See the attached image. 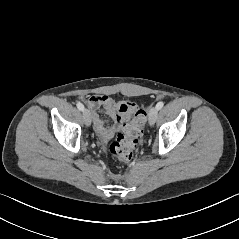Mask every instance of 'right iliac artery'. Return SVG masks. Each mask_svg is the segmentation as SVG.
Returning <instances> with one entry per match:
<instances>
[{"mask_svg": "<svg viewBox=\"0 0 239 239\" xmlns=\"http://www.w3.org/2000/svg\"><path fill=\"white\" fill-rule=\"evenodd\" d=\"M77 108L79 109V110H81V111H83L84 110V106H83V104L82 103H80V102H77Z\"/></svg>", "mask_w": 239, "mask_h": 239, "instance_id": "82829eb1", "label": "right iliac artery"}]
</instances>
